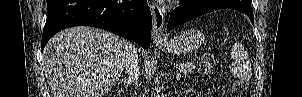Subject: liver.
<instances>
[{
	"label": "liver",
	"instance_id": "liver-1",
	"mask_svg": "<svg viewBox=\"0 0 302 97\" xmlns=\"http://www.w3.org/2000/svg\"><path fill=\"white\" fill-rule=\"evenodd\" d=\"M127 42L86 26L54 35L43 51L52 97H103L121 75Z\"/></svg>",
	"mask_w": 302,
	"mask_h": 97
}]
</instances>
